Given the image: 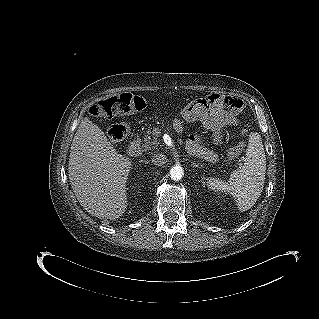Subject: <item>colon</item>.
Returning <instances> with one entry per match:
<instances>
[{
    "mask_svg": "<svg viewBox=\"0 0 319 319\" xmlns=\"http://www.w3.org/2000/svg\"><path fill=\"white\" fill-rule=\"evenodd\" d=\"M206 102L210 106L223 105L234 111H239L244 106L243 101L237 97L217 93L209 95ZM144 107L145 101L142 97L130 93H123L97 102L89 111L93 117L111 119L132 112L141 111ZM128 132L129 127L126 123H116L108 129V137L112 142H119L127 136ZM245 147V143L240 142L228 151V156L236 157L241 155L244 152Z\"/></svg>",
    "mask_w": 319,
    "mask_h": 319,
    "instance_id": "5ec220e1",
    "label": "colon"
}]
</instances>
